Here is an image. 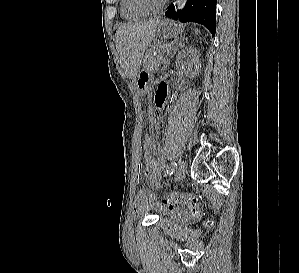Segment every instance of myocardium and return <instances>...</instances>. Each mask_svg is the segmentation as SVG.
I'll use <instances>...</instances> for the list:
<instances>
[{
  "label": "myocardium",
  "instance_id": "myocardium-1",
  "mask_svg": "<svg viewBox=\"0 0 299 273\" xmlns=\"http://www.w3.org/2000/svg\"><path fill=\"white\" fill-rule=\"evenodd\" d=\"M133 2L140 10L148 14H155L160 12L166 7L168 0H162L156 6L150 5L147 0H133Z\"/></svg>",
  "mask_w": 299,
  "mask_h": 273
}]
</instances>
